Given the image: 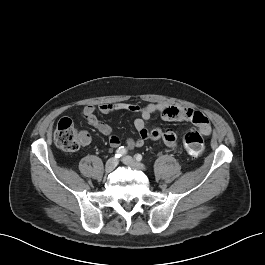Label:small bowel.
Wrapping results in <instances>:
<instances>
[{
  "mask_svg": "<svg viewBox=\"0 0 265 265\" xmlns=\"http://www.w3.org/2000/svg\"><path fill=\"white\" fill-rule=\"evenodd\" d=\"M98 109L103 114L122 110H128L140 114V117L134 121V126L139 136L136 139H127L126 144L129 149L140 147L147 140H162L170 148L174 149L177 147V137L173 130L159 127L152 129L147 128V122L155 113H159L166 121H189L205 135H208L211 132V125L208 118L203 113L191 108L153 103L147 104L143 107L135 104L107 103L100 105ZM95 111V107L88 105L83 108L82 115L88 124L109 138V144L111 147H119L121 145V139L112 134V129L108 124L96 117ZM79 134L81 144L88 145L91 141L90 134L85 130L80 131Z\"/></svg>",
  "mask_w": 265,
  "mask_h": 265,
  "instance_id": "obj_1",
  "label": "small bowel"
}]
</instances>
